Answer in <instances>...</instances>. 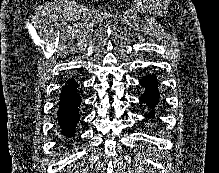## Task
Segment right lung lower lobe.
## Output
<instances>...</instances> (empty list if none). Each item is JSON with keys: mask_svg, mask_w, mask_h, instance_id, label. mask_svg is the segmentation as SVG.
I'll return each instance as SVG.
<instances>
[{"mask_svg": "<svg viewBox=\"0 0 219 173\" xmlns=\"http://www.w3.org/2000/svg\"><path fill=\"white\" fill-rule=\"evenodd\" d=\"M76 88V81L69 79L61 91L58 103L57 117L59 125L62 133L70 138L74 135L75 126L80 118L78 107L81 104V97Z\"/></svg>", "mask_w": 219, "mask_h": 173, "instance_id": "98d812e1", "label": "right lung lower lobe"}]
</instances>
